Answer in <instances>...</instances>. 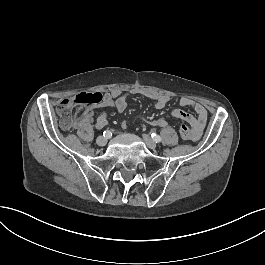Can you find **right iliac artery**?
Listing matches in <instances>:
<instances>
[{
  "mask_svg": "<svg viewBox=\"0 0 265 265\" xmlns=\"http://www.w3.org/2000/svg\"><path fill=\"white\" fill-rule=\"evenodd\" d=\"M103 136L106 137L107 139L110 138L112 136V133L110 131H104L103 132Z\"/></svg>",
  "mask_w": 265,
  "mask_h": 265,
  "instance_id": "1",
  "label": "right iliac artery"
}]
</instances>
